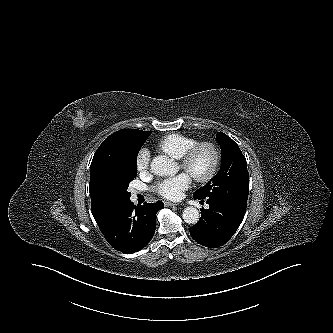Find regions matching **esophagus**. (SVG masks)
Segmentation results:
<instances>
[{"label": "esophagus", "mask_w": 333, "mask_h": 333, "mask_svg": "<svg viewBox=\"0 0 333 333\" xmlns=\"http://www.w3.org/2000/svg\"><path fill=\"white\" fill-rule=\"evenodd\" d=\"M165 206L167 207H171V206H178L179 204L177 203H173V202H169V201H164Z\"/></svg>", "instance_id": "esophagus-1"}]
</instances>
